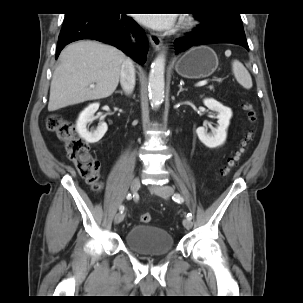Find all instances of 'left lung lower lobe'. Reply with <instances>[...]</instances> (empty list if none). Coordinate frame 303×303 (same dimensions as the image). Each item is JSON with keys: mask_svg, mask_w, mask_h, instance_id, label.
I'll return each mask as SVG.
<instances>
[{"mask_svg": "<svg viewBox=\"0 0 303 303\" xmlns=\"http://www.w3.org/2000/svg\"><path fill=\"white\" fill-rule=\"evenodd\" d=\"M213 43H232L241 45L245 49L249 50L243 27H209L203 21L201 25L193 29L189 36L175 40V50L177 53H179L189 49L192 46Z\"/></svg>", "mask_w": 303, "mask_h": 303, "instance_id": "obj_1", "label": "left lung lower lobe"}]
</instances>
